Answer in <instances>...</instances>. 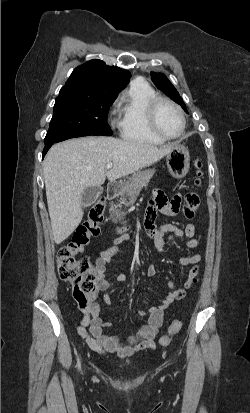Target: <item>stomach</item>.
Returning <instances> with one entry per match:
<instances>
[{"label": "stomach", "mask_w": 250, "mask_h": 413, "mask_svg": "<svg viewBox=\"0 0 250 413\" xmlns=\"http://www.w3.org/2000/svg\"><path fill=\"white\" fill-rule=\"evenodd\" d=\"M167 166L171 175L176 179L186 176L190 167V156L187 148L175 145L173 150L166 155Z\"/></svg>", "instance_id": "0dacf381"}]
</instances>
